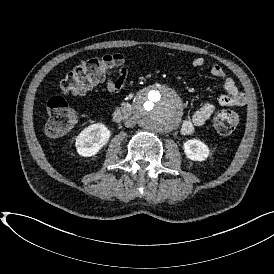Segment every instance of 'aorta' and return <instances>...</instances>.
<instances>
[{"label":"aorta","mask_w":274,"mask_h":274,"mask_svg":"<svg viewBox=\"0 0 274 274\" xmlns=\"http://www.w3.org/2000/svg\"><path fill=\"white\" fill-rule=\"evenodd\" d=\"M133 108L136 122L155 132L171 131L180 123L183 114L177 94L162 85L142 92Z\"/></svg>","instance_id":"aorta-1"}]
</instances>
